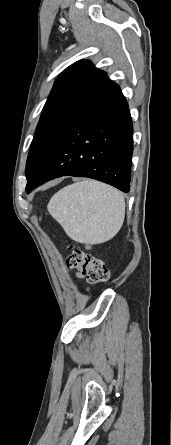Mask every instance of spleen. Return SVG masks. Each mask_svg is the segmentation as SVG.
<instances>
[{
	"label": "spleen",
	"mask_w": 171,
	"mask_h": 445,
	"mask_svg": "<svg viewBox=\"0 0 171 445\" xmlns=\"http://www.w3.org/2000/svg\"><path fill=\"white\" fill-rule=\"evenodd\" d=\"M47 209L70 238L86 244L110 240L125 218L122 193L95 180L62 188L51 198Z\"/></svg>",
	"instance_id": "obj_1"
}]
</instances>
